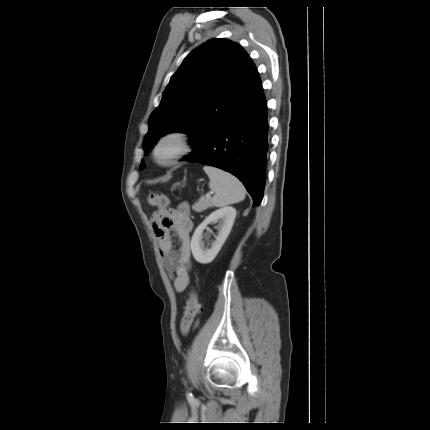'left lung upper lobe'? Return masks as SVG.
Listing matches in <instances>:
<instances>
[{"label": "left lung upper lobe", "instance_id": "5c2ea615", "mask_svg": "<svg viewBox=\"0 0 430 430\" xmlns=\"http://www.w3.org/2000/svg\"><path fill=\"white\" fill-rule=\"evenodd\" d=\"M260 84L256 66L237 43L212 39L193 50L170 79L149 119L143 149L164 134L184 132L190 141L212 126ZM145 167L144 161L140 169Z\"/></svg>", "mask_w": 430, "mask_h": 430}]
</instances>
